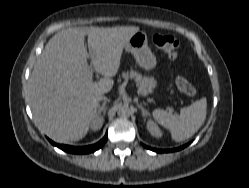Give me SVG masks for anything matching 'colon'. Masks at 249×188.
<instances>
[{"label":"colon","mask_w":249,"mask_h":188,"mask_svg":"<svg viewBox=\"0 0 249 188\" xmlns=\"http://www.w3.org/2000/svg\"><path fill=\"white\" fill-rule=\"evenodd\" d=\"M152 41L157 48L165 51L171 58L177 56L179 41L175 37L165 34H155L152 37ZM176 85L188 97H192L196 93L194 86L182 76L176 78Z\"/></svg>","instance_id":"colon-1"}]
</instances>
